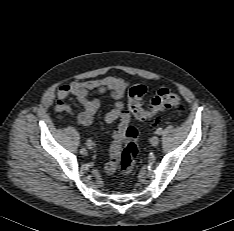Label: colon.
I'll use <instances>...</instances> for the list:
<instances>
[{
    "label": "colon",
    "instance_id": "5ec220e1",
    "mask_svg": "<svg viewBox=\"0 0 234 231\" xmlns=\"http://www.w3.org/2000/svg\"><path fill=\"white\" fill-rule=\"evenodd\" d=\"M146 87L135 85L129 90L128 107L133 116L139 121H150L166 109L180 106V96L171 89H160L152 98L148 107L144 106ZM137 130L128 123H121L115 130L110 148L111 160L118 166L121 174L130 175L135 167L139 148L136 143ZM123 144V149L121 145Z\"/></svg>",
    "mask_w": 234,
    "mask_h": 231
}]
</instances>
